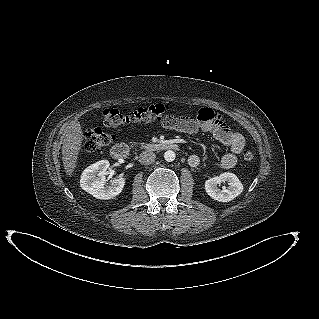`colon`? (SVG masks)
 <instances>
[{"instance_id": "colon-1", "label": "colon", "mask_w": 319, "mask_h": 319, "mask_svg": "<svg viewBox=\"0 0 319 319\" xmlns=\"http://www.w3.org/2000/svg\"><path fill=\"white\" fill-rule=\"evenodd\" d=\"M167 111L168 107L163 104L141 106L129 113H124L117 108H108L103 111L102 119L106 126L118 127L159 120ZM113 140L112 134L100 128L90 129L85 133L84 149L88 152H93L108 146ZM242 157L246 162H252L255 154L251 150H244Z\"/></svg>"}]
</instances>
